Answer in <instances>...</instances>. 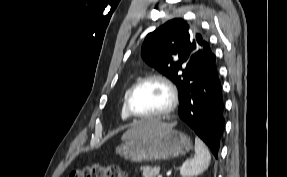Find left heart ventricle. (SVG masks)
I'll return each mask as SVG.
<instances>
[{"instance_id":"left-heart-ventricle-1","label":"left heart ventricle","mask_w":287,"mask_h":177,"mask_svg":"<svg viewBox=\"0 0 287 177\" xmlns=\"http://www.w3.org/2000/svg\"><path fill=\"white\" fill-rule=\"evenodd\" d=\"M168 105V91L163 84L156 81L140 86L131 100L132 109L142 115L159 113Z\"/></svg>"}]
</instances>
